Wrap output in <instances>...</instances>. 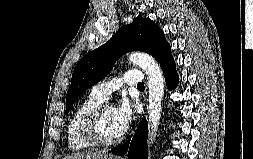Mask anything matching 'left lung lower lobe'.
I'll return each mask as SVG.
<instances>
[{
	"instance_id": "0a47b994",
	"label": "left lung lower lobe",
	"mask_w": 253,
	"mask_h": 159,
	"mask_svg": "<svg viewBox=\"0 0 253 159\" xmlns=\"http://www.w3.org/2000/svg\"><path fill=\"white\" fill-rule=\"evenodd\" d=\"M161 68L166 78L167 87L170 90L176 88L179 78L173 57L171 56ZM147 133V121L143 119L138 126L133 139L122 146L113 148L111 151L117 155L128 153V159H148V149L146 145Z\"/></svg>"
}]
</instances>
